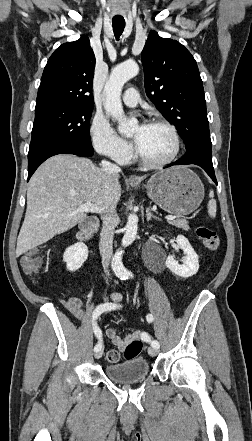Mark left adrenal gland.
I'll use <instances>...</instances> for the list:
<instances>
[{"label": "left adrenal gland", "mask_w": 252, "mask_h": 441, "mask_svg": "<svg viewBox=\"0 0 252 441\" xmlns=\"http://www.w3.org/2000/svg\"><path fill=\"white\" fill-rule=\"evenodd\" d=\"M152 219H154V220H159V218H158L157 216H155V215H153V214L151 213L150 208H147V209H146V220H147V221H150V220H152Z\"/></svg>", "instance_id": "obj_1"}]
</instances>
